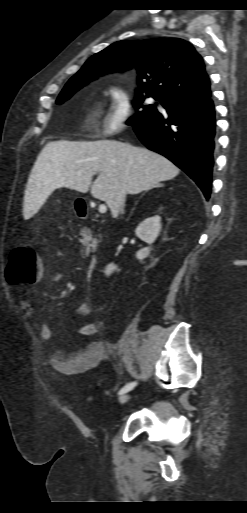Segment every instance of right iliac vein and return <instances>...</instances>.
Instances as JSON below:
<instances>
[{
  "mask_svg": "<svg viewBox=\"0 0 247 513\" xmlns=\"http://www.w3.org/2000/svg\"><path fill=\"white\" fill-rule=\"evenodd\" d=\"M128 399H129V394L124 393V394H122V395L119 397V403H120V404H124V403H126V402L128 401Z\"/></svg>",
  "mask_w": 247,
  "mask_h": 513,
  "instance_id": "right-iliac-vein-1",
  "label": "right iliac vein"
}]
</instances>
